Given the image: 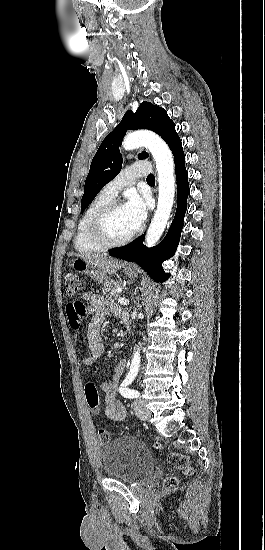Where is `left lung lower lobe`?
<instances>
[{
    "label": "left lung lower lobe",
    "instance_id": "1",
    "mask_svg": "<svg viewBox=\"0 0 265 550\" xmlns=\"http://www.w3.org/2000/svg\"><path fill=\"white\" fill-rule=\"evenodd\" d=\"M172 153L175 161L178 201L175 217L167 235L159 245L152 248H146L143 245L144 236L142 235L132 243L115 248L109 253L111 256L138 263L158 282H163L169 277L163 271L162 262L172 257L176 251L187 210V198L190 192L182 143L173 148Z\"/></svg>",
    "mask_w": 265,
    "mask_h": 550
}]
</instances>
